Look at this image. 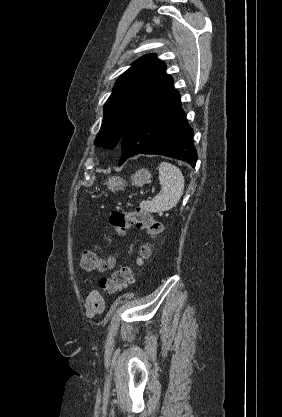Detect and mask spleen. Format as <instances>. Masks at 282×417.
Masks as SVG:
<instances>
[{
	"label": "spleen",
	"instance_id": "3e777b00",
	"mask_svg": "<svg viewBox=\"0 0 282 417\" xmlns=\"http://www.w3.org/2000/svg\"><path fill=\"white\" fill-rule=\"evenodd\" d=\"M161 194H156L153 200H142L141 209L147 213H164L176 206L184 188V176L175 164L161 162L158 166Z\"/></svg>",
	"mask_w": 282,
	"mask_h": 417
}]
</instances>
